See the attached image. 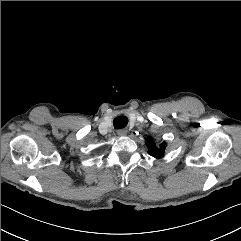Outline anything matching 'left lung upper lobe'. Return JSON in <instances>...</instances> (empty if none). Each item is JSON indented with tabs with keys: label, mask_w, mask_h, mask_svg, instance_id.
Returning <instances> with one entry per match:
<instances>
[{
	"label": "left lung upper lobe",
	"mask_w": 241,
	"mask_h": 241,
	"mask_svg": "<svg viewBox=\"0 0 241 241\" xmlns=\"http://www.w3.org/2000/svg\"><path fill=\"white\" fill-rule=\"evenodd\" d=\"M149 147L148 153L155 157L161 158L164 156L165 145L161 144L159 147L156 146L155 142L150 138L149 141L146 143Z\"/></svg>",
	"instance_id": "1"
}]
</instances>
